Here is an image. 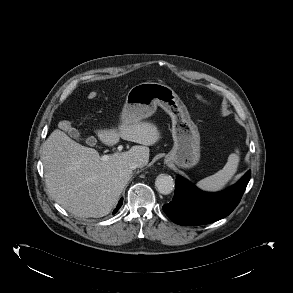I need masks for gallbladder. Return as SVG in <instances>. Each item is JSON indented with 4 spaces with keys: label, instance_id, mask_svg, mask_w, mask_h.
<instances>
[{
    "label": "gallbladder",
    "instance_id": "obj_1",
    "mask_svg": "<svg viewBox=\"0 0 293 293\" xmlns=\"http://www.w3.org/2000/svg\"><path fill=\"white\" fill-rule=\"evenodd\" d=\"M68 134L70 135V137L76 139V140H79L80 139V133L76 130V129H70L68 131ZM95 141V138L94 137H89L87 140H86V143H92Z\"/></svg>",
    "mask_w": 293,
    "mask_h": 293
}]
</instances>
